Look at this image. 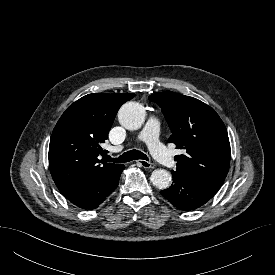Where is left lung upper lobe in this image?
I'll return each mask as SVG.
<instances>
[{"label":"left lung upper lobe","instance_id":"obj_1","mask_svg":"<svg viewBox=\"0 0 275 275\" xmlns=\"http://www.w3.org/2000/svg\"><path fill=\"white\" fill-rule=\"evenodd\" d=\"M149 99L165 115L172 135L169 142L184 149L176 156L177 172L221 187L229 170L231 149L226 127L210 106L172 91L155 93Z\"/></svg>","mask_w":275,"mask_h":275}]
</instances>
